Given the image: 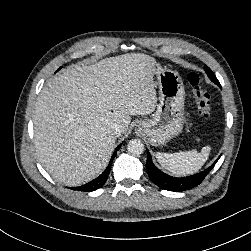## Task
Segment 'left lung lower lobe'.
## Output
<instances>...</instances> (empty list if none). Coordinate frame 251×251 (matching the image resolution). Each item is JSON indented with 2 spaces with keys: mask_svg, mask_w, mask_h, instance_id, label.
<instances>
[{
  "mask_svg": "<svg viewBox=\"0 0 251 251\" xmlns=\"http://www.w3.org/2000/svg\"><path fill=\"white\" fill-rule=\"evenodd\" d=\"M217 85H219V83H217ZM219 158L220 157H218L210 167L200 173L188 177L176 178L160 171L153 164L151 155L147 150L146 168L150 180L154 182L158 187L168 191H185L198 186L204 180L206 175L212 170Z\"/></svg>",
  "mask_w": 251,
  "mask_h": 251,
  "instance_id": "obj_1",
  "label": "left lung lower lobe"
}]
</instances>
